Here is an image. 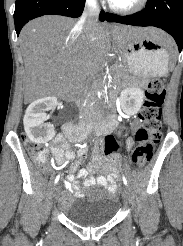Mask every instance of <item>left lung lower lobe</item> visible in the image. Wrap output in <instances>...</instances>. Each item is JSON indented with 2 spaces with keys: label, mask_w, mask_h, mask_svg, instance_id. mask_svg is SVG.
Returning <instances> with one entry per match:
<instances>
[{
  "label": "left lung lower lobe",
  "mask_w": 183,
  "mask_h": 246,
  "mask_svg": "<svg viewBox=\"0 0 183 246\" xmlns=\"http://www.w3.org/2000/svg\"><path fill=\"white\" fill-rule=\"evenodd\" d=\"M106 20L134 26H154L173 36L179 52L183 48V0H147L138 13L119 16L107 13Z\"/></svg>",
  "instance_id": "1"
}]
</instances>
